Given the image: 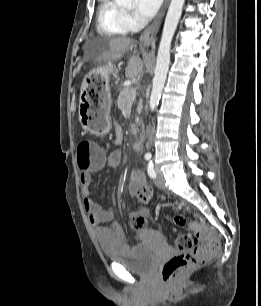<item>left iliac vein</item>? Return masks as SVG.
Wrapping results in <instances>:
<instances>
[{
  "label": "left iliac vein",
  "instance_id": "1",
  "mask_svg": "<svg viewBox=\"0 0 261 306\" xmlns=\"http://www.w3.org/2000/svg\"><path fill=\"white\" fill-rule=\"evenodd\" d=\"M155 184L159 189H162V190L165 189L164 177L160 172H157Z\"/></svg>",
  "mask_w": 261,
  "mask_h": 306
}]
</instances>
